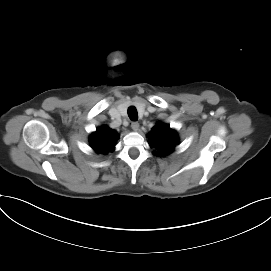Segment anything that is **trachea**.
Returning a JSON list of instances; mask_svg holds the SVG:
<instances>
[{"label":"trachea","instance_id":"trachea-1","mask_svg":"<svg viewBox=\"0 0 271 271\" xmlns=\"http://www.w3.org/2000/svg\"><path fill=\"white\" fill-rule=\"evenodd\" d=\"M127 112L131 120L136 121L138 119V113L135 107L133 106L129 107Z\"/></svg>","mask_w":271,"mask_h":271}]
</instances>
